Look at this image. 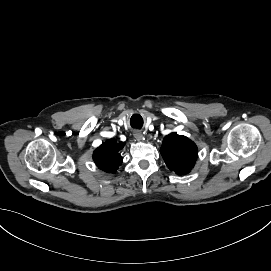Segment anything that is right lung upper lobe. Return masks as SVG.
Returning a JSON list of instances; mask_svg holds the SVG:
<instances>
[{"mask_svg":"<svg viewBox=\"0 0 271 271\" xmlns=\"http://www.w3.org/2000/svg\"><path fill=\"white\" fill-rule=\"evenodd\" d=\"M124 145L123 142L110 139L98 147L93 153V160L98 168L106 173H115L123 161L119 151Z\"/></svg>","mask_w":271,"mask_h":271,"instance_id":"1","label":"right lung upper lobe"}]
</instances>
